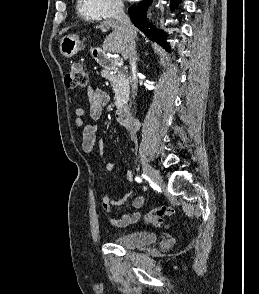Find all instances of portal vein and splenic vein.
Masks as SVG:
<instances>
[{
  "label": "portal vein and splenic vein",
  "instance_id": "obj_1",
  "mask_svg": "<svg viewBox=\"0 0 259 294\" xmlns=\"http://www.w3.org/2000/svg\"><path fill=\"white\" fill-rule=\"evenodd\" d=\"M114 63H115V65H117V66H122V65H123V61H122V59H114Z\"/></svg>",
  "mask_w": 259,
  "mask_h": 294
}]
</instances>
